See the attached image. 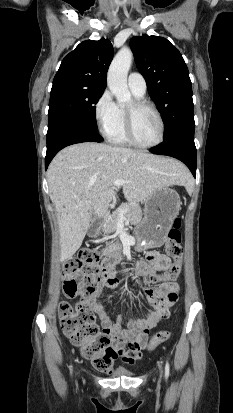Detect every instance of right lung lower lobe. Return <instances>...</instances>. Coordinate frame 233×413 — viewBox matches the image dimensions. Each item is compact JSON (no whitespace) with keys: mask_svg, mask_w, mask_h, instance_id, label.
<instances>
[{"mask_svg":"<svg viewBox=\"0 0 233 413\" xmlns=\"http://www.w3.org/2000/svg\"><path fill=\"white\" fill-rule=\"evenodd\" d=\"M81 142H102V138L97 131L72 122L61 121L48 127L45 168L61 149Z\"/></svg>","mask_w":233,"mask_h":413,"instance_id":"1","label":"right lung lower lobe"}]
</instances>
